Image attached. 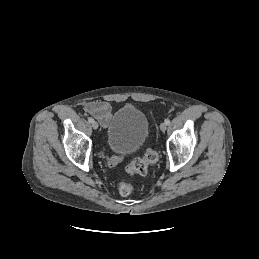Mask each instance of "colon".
<instances>
[{
	"mask_svg": "<svg viewBox=\"0 0 259 259\" xmlns=\"http://www.w3.org/2000/svg\"><path fill=\"white\" fill-rule=\"evenodd\" d=\"M158 157L154 150L148 149L142 157L135 158L126 168V171L131 175H145L150 165L156 163ZM119 193L122 196H129L133 187L128 180H122L119 183Z\"/></svg>",
	"mask_w": 259,
	"mask_h": 259,
	"instance_id": "obj_1",
	"label": "colon"
}]
</instances>
